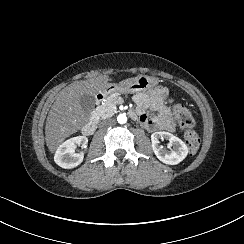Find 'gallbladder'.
Segmentation results:
<instances>
[{"label":"gallbladder","instance_id":"obj_1","mask_svg":"<svg viewBox=\"0 0 244 244\" xmlns=\"http://www.w3.org/2000/svg\"><path fill=\"white\" fill-rule=\"evenodd\" d=\"M80 105L82 110L86 113H90L95 108V97L90 94H85L80 97Z\"/></svg>","mask_w":244,"mask_h":244}]
</instances>
